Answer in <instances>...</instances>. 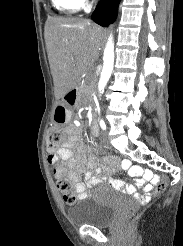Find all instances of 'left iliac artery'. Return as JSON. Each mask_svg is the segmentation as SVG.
Wrapping results in <instances>:
<instances>
[{
	"mask_svg": "<svg viewBox=\"0 0 183 246\" xmlns=\"http://www.w3.org/2000/svg\"><path fill=\"white\" fill-rule=\"evenodd\" d=\"M100 127L103 129V130H106V124L104 122L103 119L100 120Z\"/></svg>",
	"mask_w": 183,
	"mask_h": 246,
	"instance_id": "left-iliac-artery-1",
	"label": "left iliac artery"
}]
</instances>
